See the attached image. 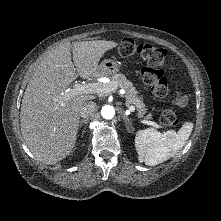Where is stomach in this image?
<instances>
[{"label":"stomach","mask_w":221,"mask_h":221,"mask_svg":"<svg viewBox=\"0 0 221 221\" xmlns=\"http://www.w3.org/2000/svg\"><path fill=\"white\" fill-rule=\"evenodd\" d=\"M120 69V64L117 61L111 59L103 60L98 69V75L109 76L116 74Z\"/></svg>","instance_id":"stomach-1"}]
</instances>
